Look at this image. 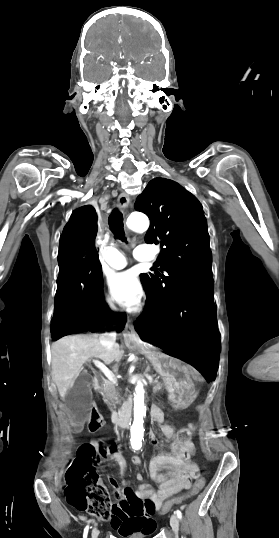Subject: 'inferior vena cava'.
<instances>
[{
    "label": "inferior vena cava",
    "mask_w": 279,
    "mask_h": 538,
    "mask_svg": "<svg viewBox=\"0 0 279 538\" xmlns=\"http://www.w3.org/2000/svg\"><path fill=\"white\" fill-rule=\"evenodd\" d=\"M116 338V333H105L101 335L100 343L102 346L106 347L108 351L113 350V343L112 341ZM117 346V344H115Z\"/></svg>",
    "instance_id": "1"
}]
</instances>
